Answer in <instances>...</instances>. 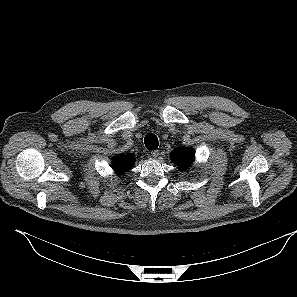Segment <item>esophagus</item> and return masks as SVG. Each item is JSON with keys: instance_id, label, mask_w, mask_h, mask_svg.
<instances>
[{"instance_id": "obj_1", "label": "esophagus", "mask_w": 297, "mask_h": 297, "mask_svg": "<svg viewBox=\"0 0 297 297\" xmlns=\"http://www.w3.org/2000/svg\"><path fill=\"white\" fill-rule=\"evenodd\" d=\"M151 157L156 158L159 155V151L158 150H154L150 152Z\"/></svg>"}]
</instances>
